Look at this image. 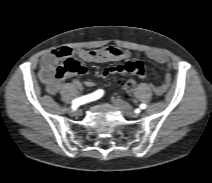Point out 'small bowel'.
Here are the masks:
<instances>
[{
  "label": "small bowel",
  "mask_w": 212,
  "mask_h": 183,
  "mask_svg": "<svg viewBox=\"0 0 212 183\" xmlns=\"http://www.w3.org/2000/svg\"><path fill=\"white\" fill-rule=\"evenodd\" d=\"M59 53H63L65 57H71L77 55L84 62H94V63H109L120 61L129 58L130 53L116 46H107L97 50H73L71 48H60L54 50L51 53L45 54L41 59V70L40 78L45 85L47 91L55 95L58 93L61 87V81L56 80L53 76L54 69L58 66V62L61 57L58 56ZM147 56L156 63L166 64L169 71V59L165 53L160 51H149ZM115 74H134L140 78H145L146 73L144 66L139 61H129L122 65L110 66L103 70V77H108ZM171 82V76L167 72L164 82L156 88V93L161 95L168 89ZM73 85L77 88L81 87V83L78 80L73 81ZM86 86H93V80H87L85 82Z\"/></svg>",
  "instance_id": "1"
}]
</instances>
